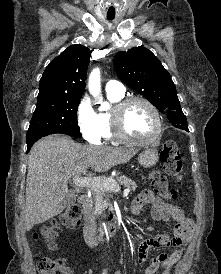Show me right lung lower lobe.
<instances>
[{"mask_svg": "<svg viewBox=\"0 0 221 274\" xmlns=\"http://www.w3.org/2000/svg\"><path fill=\"white\" fill-rule=\"evenodd\" d=\"M39 139H40V138H39ZM37 140H38V139L33 140V141L27 143V152H29V150L31 149L32 145H33Z\"/></svg>", "mask_w": 221, "mask_h": 274, "instance_id": "98d812e1", "label": "right lung lower lobe"}]
</instances>
